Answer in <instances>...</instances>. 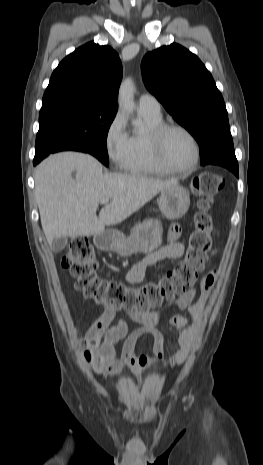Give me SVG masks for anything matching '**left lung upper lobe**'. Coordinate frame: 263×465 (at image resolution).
<instances>
[{"mask_svg": "<svg viewBox=\"0 0 263 465\" xmlns=\"http://www.w3.org/2000/svg\"><path fill=\"white\" fill-rule=\"evenodd\" d=\"M141 70L146 88L197 140L201 162L235 155L223 97L195 54L163 46L143 57Z\"/></svg>", "mask_w": 263, "mask_h": 465, "instance_id": "5c2ea615", "label": "left lung upper lobe"}]
</instances>
